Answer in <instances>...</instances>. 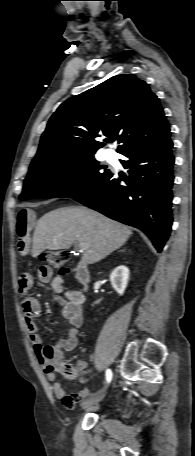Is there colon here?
Instances as JSON below:
<instances>
[{"label":"colon","instance_id":"1","mask_svg":"<svg viewBox=\"0 0 195 456\" xmlns=\"http://www.w3.org/2000/svg\"><path fill=\"white\" fill-rule=\"evenodd\" d=\"M40 259L62 274L68 270L70 254L65 250H51L43 253ZM49 370L58 371L67 378H74L78 375V370L67 361H60L49 366Z\"/></svg>","mask_w":195,"mask_h":456}]
</instances>
